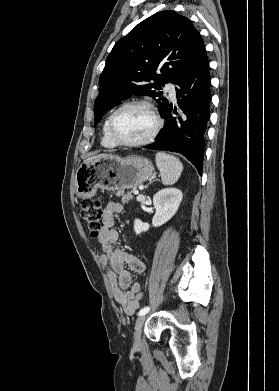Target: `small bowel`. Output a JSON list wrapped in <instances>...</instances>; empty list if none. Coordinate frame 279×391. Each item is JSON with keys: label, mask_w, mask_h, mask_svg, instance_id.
<instances>
[{"label": "small bowel", "mask_w": 279, "mask_h": 391, "mask_svg": "<svg viewBox=\"0 0 279 391\" xmlns=\"http://www.w3.org/2000/svg\"><path fill=\"white\" fill-rule=\"evenodd\" d=\"M121 210L122 205L116 201H110L105 206L102 218L103 225L98 235L103 251L100 262L108 269L115 300L126 314L132 315L140 305L137 301V294L141 292L142 285L138 281L132 282L131 275L125 265L134 272L143 273L146 270V264L123 249L114 247L119 238V231L114 227V218Z\"/></svg>", "instance_id": "obj_1"}]
</instances>
